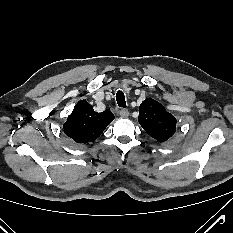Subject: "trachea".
<instances>
[{
    "mask_svg": "<svg viewBox=\"0 0 233 233\" xmlns=\"http://www.w3.org/2000/svg\"><path fill=\"white\" fill-rule=\"evenodd\" d=\"M116 100L119 107L125 108L126 107V101L125 96L122 91H118L116 94Z\"/></svg>",
    "mask_w": 233,
    "mask_h": 233,
    "instance_id": "obj_1",
    "label": "trachea"
}]
</instances>
